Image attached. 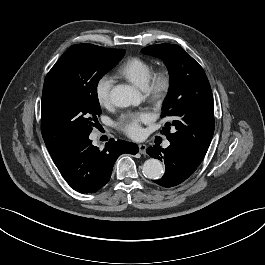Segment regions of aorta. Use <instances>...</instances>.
Segmentation results:
<instances>
[{
    "label": "aorta",
    "instance_id": "obj_1",
    "mask_svg": "<svg viewBox=\"0 0 265 265\" xmlns=\"http://www.w3.org/2000/svg\"><path fill=\"white\" fill-rule=\"evenodd\" d=\"M111 100L117 107L137 106L141 102V94L129 85H117L111 91ZM142 172L148 179H159L163 175L162 163L155 158L146 160Z\"/></svg>",
    "mask_w": 265,
    "mask_h": 265
}]
</instances>
